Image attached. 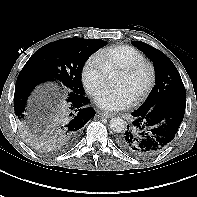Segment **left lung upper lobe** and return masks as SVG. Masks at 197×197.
<instances>
[{"instance_id":"5c2ea615","label":"left lung upper lobe","mask_w":197,"mask_h":197,"mask_svg":"<svg viewBox=\"0 0 197 197\" xmlns=\"http://www.w3.org/2000/svg\"><path fill=\"white\" fill-rule=\"evenodd\" d=\"M131 43L153 62L156 73V85L139 108H152L161 100L172 96H186V90L178 70L163 52L141 41H132Z\"/></svg>"}]
</instances>
